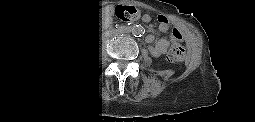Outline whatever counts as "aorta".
Returning a JSON list of instances; mask_svg holds the SVG:
<instances>
[{"label": "aorta", "instance_id": "aorta-1", "mask_svg": "<svg viewBox=\"0 0 255 122\" xmlns=\"http://www.w3.org/2000/svg\"><path fill=\"white\" fill-rule=\"evenodd\" d=\"M132 34L136 37L141 36L143 34V28L140 26L133 27Z\"/></svg>", "mask_w": 255, "mask_h": 122}]
</instances>
